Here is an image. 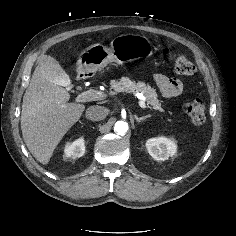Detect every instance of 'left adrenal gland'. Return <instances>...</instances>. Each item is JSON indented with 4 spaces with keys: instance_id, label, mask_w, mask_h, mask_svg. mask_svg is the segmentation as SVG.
<instances>
[{
    "instance_id": "left-adrenal-gland-1",
    "label": "left adrenal gland",
    "mask_w": 236,
    "mask_h": 236,
    "mask_svg": "<svg viewBox=\"0 0 236 236\" xmlns=\"http://www.w3.org/2000/svg\"><path fill=\"white\" fill-rule=\"evenodd\" d=\"M149 117H151V115H146V116H143V117H140V118L136 117L135 119H136L137 122H141V121H143V120H145Z\"/></svg>"
}]
</instances>
